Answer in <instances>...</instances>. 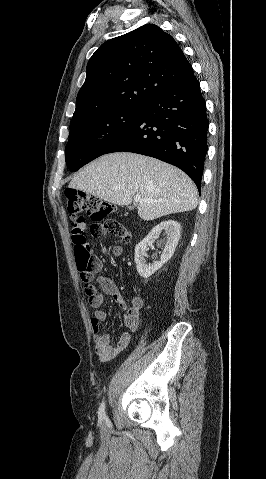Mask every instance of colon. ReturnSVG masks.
<instances>
[{
    "label": "colon",
    "instance_id": "1",
    "mask_svg": "<svg viewBox=\"0 0 266 479\" xmlns=\"http://www.w3.org/2000/svg\"><path fill=\"white\" fill-rule=\"evenodd\" d=\"M64 195L65 208L71 218L72 245L77 271L89 302L94 303L98 291L92 282L93 258L89 241L84 232L86 220L83 214H86L92 221L89 229L93 236L99 238L112 236L122 242H127L131 235L120 222L109 218L115 210L113 204L75 189L66 190Z\"/></svg>",
    "mask_w": 266,
    "mask_h": 479
}]
</instances>
